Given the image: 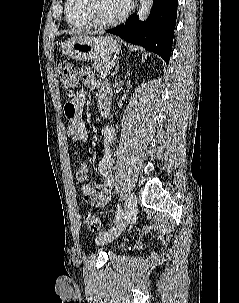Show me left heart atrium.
Instances as JSON below:
<instances>
[{
	"instance_id": "39dd6f15",
	"label": "left heart atrium",
	"mask_w": 239,
	"mask_h": 303,
	"mask_svg": "<svg viewBox=\"0 0 239 303\" xmlns=\"http://www.w3.org/2000/svg\"><path fill=\"white\" fill-rule=\"evenodd\" d=\"M124 2L128 6L131 3V0H124Z\"/></svg>"
}]
</instances>
